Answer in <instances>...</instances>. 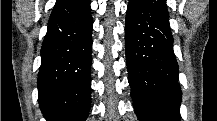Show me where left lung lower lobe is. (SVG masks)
Returning <instances> with one entry per match:
<instances>
[{
	"label": "left lung lower lobe",
	"mask_w": 217,
	"mask_h": 121,
	"mask_svg": "<svg viewBox=\"0 0 217 121\" xmlns=\"http://www.w3.org/2000/svg\"><path fill=\"white\" fill-rule=\"evenodd\" d=\"M128 81L140 121H180L181 88L166 0H129Z\"/></svg>",
	"instance_id": "obj_1"
}]
</instances>
